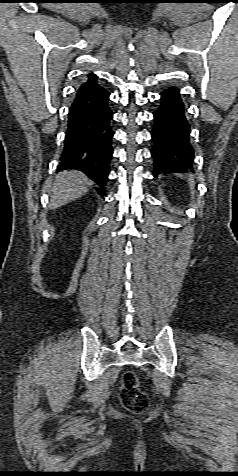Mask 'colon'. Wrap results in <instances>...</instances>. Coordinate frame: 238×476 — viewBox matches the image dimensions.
<instances>
[{
  "label": "colon",
  "instance_id": "1",
  "mask_svg": "<svg viewBox=\"0 0 238 476\" xmlns=\"http://www.w3.org/2000/svg\"><path fill=\"white\" fill-rule=\"evenodd\" d=\"M119 396L122 405L132 413H143L149 406V398L140 389L138 376L132 370L123 373Z\"/></svg>",
  "mask_w": 238,
  "mask_h": 476
}]
</instances>
